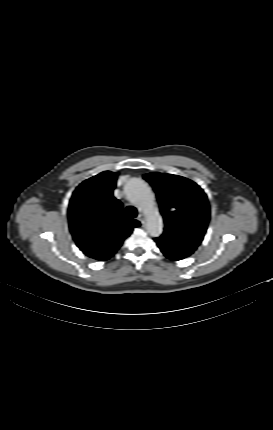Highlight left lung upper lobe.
Listing matches in <instances>:
<instances>
[{
  "instance_id": "obj_1",
  "label": "left lung upper lobe",
  "mask_w": 273,
  "mask_h": 430,
  "mask_svg": "<svg viewBox=\"0 0 273 430\" xmlns=\"http://www.w3.org/2000/svg\"><path fill=\"white\" fill-rule=\"evenodd\" d=\"M155 190L165 222V231L155 238L163 254L171 260L190 256L206 233L210 209L204 191L193 181L172 174L143 176Z\"/></svg>"
}]
</instances>
